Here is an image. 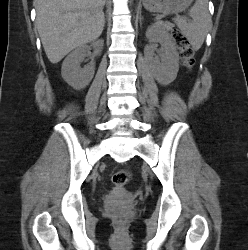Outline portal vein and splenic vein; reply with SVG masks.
Listing matches in <instances>:
<instances>
[{
  "label": "portal vein and splenic vein",
  "mask_w": 248,
  "mask_h": 250,
  "mask_svg": "<svg viewBox=\"0 0 248 250\" xmlns=\"http://www.w3.org/2000/svg\"><path fill=\"white\" fill-rule=\"evenodd\" d=\"M162 17H164V15H160V16H158V18H162Z\"/></svg>",
  "instance_id": "1"
}]
</instances>
